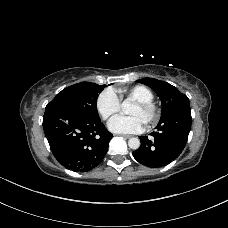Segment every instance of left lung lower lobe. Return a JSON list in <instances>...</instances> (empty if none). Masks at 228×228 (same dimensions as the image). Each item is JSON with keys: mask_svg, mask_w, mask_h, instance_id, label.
Masks as SVG:
<instances>
[{"mask_svg": "<svg viewBox=\"0 0 228 228\" xmlns=\"http://www.w3.org/2000/svg\"><path fill=\"white\" fill-rule=\"evenodd\" d=\"M181 123H174L175 117L168 116L159 121L152 137L140 136L141 145L133 152L134 158L141 164L159 168L168 165L183 151L191 129V109L180 110Z\"/></svg>", "mask_w": 228, "mask_h": 228, "instance_id": "obj_1", "label": "left lung lower lobe"}]
</instances>
